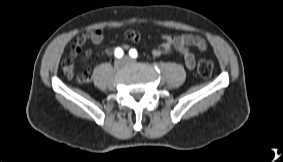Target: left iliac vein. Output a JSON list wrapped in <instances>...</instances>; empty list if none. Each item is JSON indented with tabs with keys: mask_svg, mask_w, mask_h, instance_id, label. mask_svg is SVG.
<instances>
[{
	"mask_svg": "<svg viewBox=\"0 0 283 162\" xmlns=\"http://www.w3.org/2000/svg\"><path fill=\"white\" fill-rule=\"evenodd\" d=\"M124 62L126 63V64H129V63H133L134 61L131 59V58H129V57H125L124 59Z\"/></svg>",
	"mask_w": 283,
	"mask_h": 162,
	"instance_id": "left-iliac-vein-1",
	"label": "left iliac vein"
}]
</instances>
